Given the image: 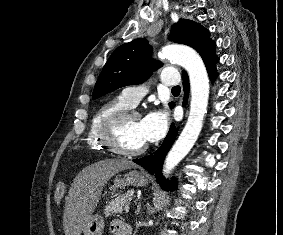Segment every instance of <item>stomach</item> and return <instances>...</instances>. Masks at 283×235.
I'll return each mask as SVG.
<instances>
[{
	"instance_id": "stomach-1",
	"label": "stomach",
	"mask_w": 283,
	"mask_h": 235,
	"mask_svg": "<svg viewBox=\"0 0 283 235\" xmlns=\"http://www.w3.org/2000/svg\"><path fill=\"white\" fill-rule=\"evenodd\" d=\"M146 184V176L137 170H132L127 172L124 175L123 179H115L112 189L116 190L117 188H124L127 185L145 186ZM103 229L104 220L102 216H100L99 214H95L90 216L82 231L84 235H102Z\"/></svg>"
}]
</instances>
